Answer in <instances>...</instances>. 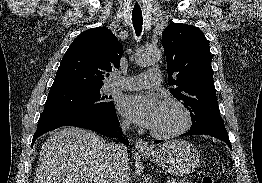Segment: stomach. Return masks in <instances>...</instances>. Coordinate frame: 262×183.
<instances>
[{"mask_svg": "<svg viewBox=\"0 0 262 183\" xmlns=\"http://www.w3.org/2000/svg\"><path fill=\"white\" fill-rule=\"evenodd\" d=\"M141 154L175 176L192 173L199 163L198 150L185 140H172L151 152H142Z\"/></svg>", "mask_w": 262, "mask_h": 183, "instance_id": "obj_1", "label": "stomach"}]
</instances>
